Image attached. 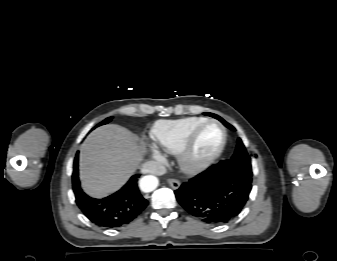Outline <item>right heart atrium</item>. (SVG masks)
<instances>
[{
	"mask_svg": "<svg viewBox=\"0 0 337 261\" xmlns=\"http://www.w3.org/2000/svg\"><path fill=\"white\" fill-rule=\"evenodd\" d=\"M154 157L157 159H161V156L156 151H154Z\"/></svg>",
	"mask_w": 337,
	"mask_h": 261,
	"instance_id": "1",
	"label": "right heart atrium"
}]
</instances>
